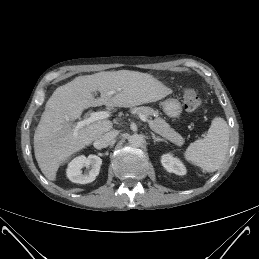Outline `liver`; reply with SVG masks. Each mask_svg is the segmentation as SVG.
I'll return each instance as SVG.
<instances>
[{"mask_svg": "<svg viewBox=\"0 0 259 259\" xmlns=\"http://www.w3.org/2000/svg\"><path fill=\"white\" fill-rule=\"evenodd\" d=\"M99 91L100 98L93 92ZM113 91L112 95H107ZM167 92L153 76L138 71H104L76 77L58 87L46 103L34 134V152L44 176L56 179L59 166L110 131V120H98L77 131L71 125L82 112L100 105L134 107L160 100Z\"/></svg>", "mask_w": 259, "mask_h": 259, "instance_id": "obj_1", "label": "liver"}]
</instances>
